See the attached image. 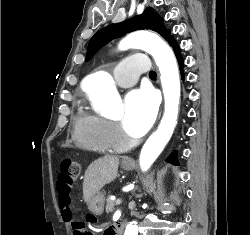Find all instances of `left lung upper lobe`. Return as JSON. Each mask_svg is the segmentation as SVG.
<instances>
[{"label":"left lung upper lobe","mask_w":250,"mask_h":235,"mask_svg":"<svg viewBox=\"0 0 250 235\" xmlns=\"http://www.w3.org/2000/svg\"><path fill=\"white\" fill-rule=\"evenodd\" d=\"M140 29H150L156 31L168 42L173 39L170 36V31L165 29L163 19L155 13L153 8L148 7L141 15H138L133 19L118 24H111L95 33L88 44L87 59L92 57L98 49L110 42L112 39Z\"/></svg>","instance_id":"left-lung-upper-lobe-1"}]
</instances>
